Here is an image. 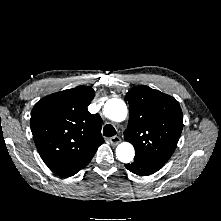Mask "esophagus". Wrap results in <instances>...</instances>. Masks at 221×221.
Here are the masks:
<instances>
[{"instance_id": "obj_1", "label": "esophagus", "mask_w": 221, "mask_h": 221, "mask_svg": "<svg viewBox=\"0 0 221 221\" xmlns=\"http://www.w3.org/2000/svg\"><path fill=\"white\" fill-rule=\"evenodd\" d=\"M109 142L112 146H116L117 144L121 142V139L119 136H113L109 139Z\"/></svg>"}]
</instances>
